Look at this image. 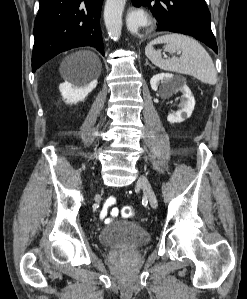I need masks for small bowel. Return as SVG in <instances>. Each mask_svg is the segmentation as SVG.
I'll return each mask as SVG.
<instances>
[{
	"mask_svg": "<svg viewBox=\"0 0 247 299\" xmlns=\"http://www.w3.org/2000/svg\"><path fill=\"white\" fill-rule=\"evenodd\" d=\"M116 198L109 197L102 206L100 211V218L105 222H111L115 217L119 215V209L115 207Z\"/></svg>",
	"mask_w": 247,
	"mask_h": 299,
	"instance_id": "1",
	"label": "small bowel"
}]
</instances>
